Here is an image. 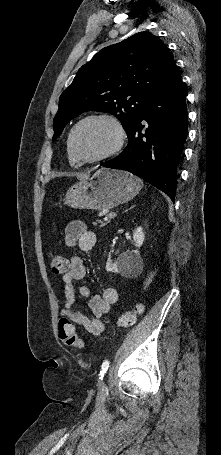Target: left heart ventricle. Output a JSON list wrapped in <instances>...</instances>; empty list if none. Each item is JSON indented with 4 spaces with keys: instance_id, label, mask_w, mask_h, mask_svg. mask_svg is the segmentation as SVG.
<instances>
[{
    "instance_id": "b2bd125f",
    "label": "left heart ventricle",
    "mask_w": 221,
    "mask_h": 455,
    "mask_svg": "<svg viewBox=\"0 0 221 455\" xmlns=\"http://www.w3.org/2000/svg\"><path fill=\"white\" fill-rule=\"evenodd\" d=\"M115 142L112 127L101 121H91L77 131L75 149L83 158H93L108 151Z\"/></svg>"
}]
</instances>
